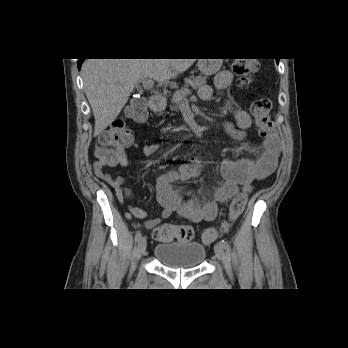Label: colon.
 Listing matches in <instances>:
<instances>
[{"instance_id":"colon-1","label":"colon","mask_w":348,"mask_h":348,"mask_svg":"<svg viewBox=\"0 0 348 348\" xmlns=\"http://www.w3.org/2000/svg\"><path fill=\"white\" fill-rule=\"evenodd\" d=\"M259 63L255 58H238L234 61L232 69L238 77L241 87H246L252 75L257 71ZM272 103L268 98H258L251 104V114L254 118L258 133L262 137H268L275 133V125L271 119ZM126 119L144 124L147 120L145 101L135 99L127 107ZM126 119L113 122L100 136L96 149V157L99 162L115 164L121 158L123 149L132 143V131L126 126ZM247 196L243 193L233 198L229 205L227 219L220 228H208L202 233V241L205 244L213 243L221 233L229 230L231 225L240 217L246 206ZM153 235L164 242L178 240L191 241L195 231L189 225L162 224L154 228Z\"/></svg>"}]
</instances>
